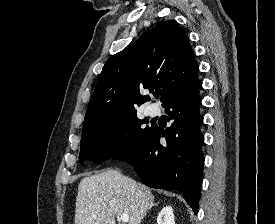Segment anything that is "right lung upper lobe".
Masks as SVG:
<instances>
[{
  "mask_svg": "<svg viewBox=\"0 0 275 224\" xmlns=\"http://www.w3.org/2000/svg\"><path fill=\"white\" fill-rule=\"evenodd\" d=\"M186 32L174 20L160 21L104 65L88 104L83 128L136 111L150 100L140 89L162 88V103L189 85L198 72Z\"/></svg>",
  "mask_w": 275,
  "mask_h": 224,
  "instance_id": "right-lung-upper-lobe-1",
  "label": "right lung upper lobe"
}]
</instances>
